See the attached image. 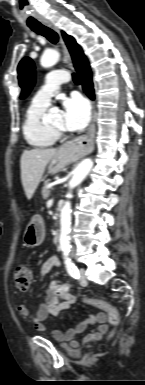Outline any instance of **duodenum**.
Segmentation results:
<instances>
[{
  "mask_svg": "<svg viewBox=\"0 0 145 385\" xmlns=\"http://www.w3.org/2000/svg\"><path fill=\"white\" fill-rule=\"evenodd\" d=\"M60 239L59 232L57 230L54 231L53 233V241L54 243H58Z\"/></svg>",
  "mask_w": 145,
  "mask_h": 385,
  "instance_id": "1",
  "label": "duodenum"
}]
</instances>
